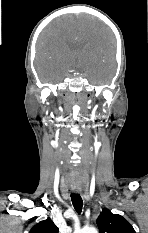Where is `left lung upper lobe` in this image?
I'll return each mask as SVG.
<instances>
[{
    "mask_svg": "<svg viewBox=\"0 0 148 233\" xmlns=\"http://www.w3.org/2000/svg\"><path fill=\"white\" fill-rule=\"evenodd\" d=\"M100 233H135L132 225L122 216L104 209L97 218Z\"/></svg>",
    "mask_w": 148,
    "mask_h": 233,
    "instance_id": "5c2ea615",
    "label": "left lung upper lobe"
}]
</instances>
